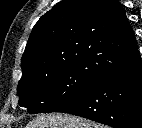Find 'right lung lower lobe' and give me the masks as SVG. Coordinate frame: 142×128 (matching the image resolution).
Listing matches in <instances>:
<instances>
[{
  "mask_svg": "<svg viewBox=\"0 0 142 128\" xmlns=\"http://www.w3.org/2000/svg\"><path fill=\"white\" fill-rule=\"evenodd\" d=\"M54 112L70 113L114 128H142V61L101 77Z\"/></svg>",
  "mask_w": 142,
  "mask_h": 128,
  "instance_id": "1",
  "label": "right lung lower lobe"
}]
</instances>
